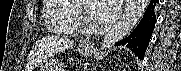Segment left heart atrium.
Here are the masks:
<instances>
[{"mask_svg": "<svg viewBox=\"0 0 181 71\" xmlns=\"http://www.w3.org/2000/svg\"><path fill=\"white\" fill-rule=\"evenodd\" d=\"M90 3H93V6L88 8L90 18L99 24H108L118 15L121 1L102 0Z\"/></svg>", "mask_w": 181, "mask_h": 71, "instance_id": "left-heart-atrium-1", "label": "left heart atrium"}]
</instances>
